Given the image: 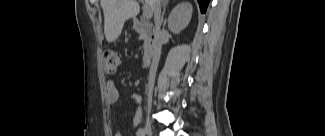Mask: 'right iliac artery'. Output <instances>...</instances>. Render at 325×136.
Wrapping results in <instances>:
<instances>
[{
    "label": "right iliac artery",
    "mask_w": 325,
    "mask_h": 136,
    "mask_svg": "<svg viewBox=\"0 0 325 136\" xmlns=\"http://www.w3.org/2000/svg\"><path fill=\"white\" fill-rule=\"evenodd\" d=\"M137 135L138 136H144L145 135V129H139L138 131H137Z\"/></svg>",
    "instance_id": "1"
}]
</instances>
